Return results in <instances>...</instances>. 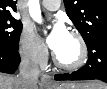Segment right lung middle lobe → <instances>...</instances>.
<instances>
[{"instance_id":"right-lung-middle-lobe-1","label":"right lung middle lobe","mask_w":107,"mask_h":89,"mask_svg":"<svg viewBox=\"0 0 107 89\" xmlns=\"http://www.w3.org/2000/svg\"><path fill=\"white\" fill-rule=\"evenodd\" d=\"M22 23L10 15H0V47L12 52L18 51Z\"/></svg>"}]
</instances>
